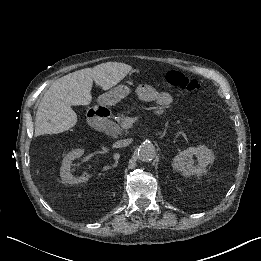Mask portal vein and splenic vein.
Returning a JSON list of instances; mask_svg holds the SVG:
<instances>
[{
	"mask_svg": "<svg viewBox=\"0 0 261 261\" xmlns=\"http://www.w3.org/2000/svg\"><path fill=\"white\" fill-rule=\"evenodd\" d=\"M137 120H142V115H137ZM136 121V118L125 117L121 122V127L123 129H129L133 126V123Z\"/></svg>",
	"mask_w": 261,
	"mask_h": 261,
	"instance_id": "18ae733b",
	"label": "portal vein and splenic vein"
}]
</instances>
